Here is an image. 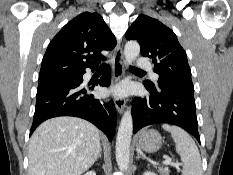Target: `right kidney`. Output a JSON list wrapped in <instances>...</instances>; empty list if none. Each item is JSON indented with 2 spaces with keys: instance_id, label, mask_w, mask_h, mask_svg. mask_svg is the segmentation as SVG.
Instances as JSON below:
<instances>
[{
  "instance_id": "right-kidney-1",
  "label": "right kidney",
  "mask_w": 233,
  "mask_h": 175,
  "mask_svg": "<svg viewBox=\"0 0 233 175\" xmlns=\"http://www.w3.org/2000/svg\"><path fill=\"white\" fill-rule=\"evenodd\" d=\"M85 175H96V173L94 171H89Z\"/></svg>"
}]
</instances>
